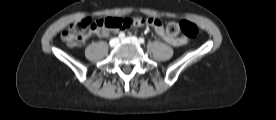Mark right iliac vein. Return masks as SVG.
Here are the masks:
<instances>
[{"label": "right iliac vein", "instance_id": "obj_1", "mask_svg": "<svg viewBox=\"0 0 276 120\" xmlns=\"http://www.w3.org/2000/svg\"><path fill=\"white\" fill-rule=\"evenodd\" d=\"M119 43V40L117 38H113L110 40V46L114 47Z\"/></svg>", "mask_w": 276, "mask_h": 120}]
</instances>
